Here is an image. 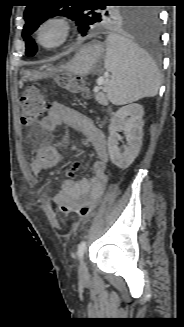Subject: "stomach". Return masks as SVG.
<instances>
[{"label":"stomach","mask_w":184,"mask_h":327,"mask_svg":"<svg viewBox=\"0 0 184 327\" xmlns=\"http://www.w3.org/2000/svg\"><path fill=\"white\" fill-rule=\"evenodd\" d=\"M104 46L101 43H94L82 47L72 59L58 69L49 72L40 73L35 70H23L22 75L25 81H33L41 78H47L57 72H68L72 75L81 77L91 73H97L102 62Z\"/></svg>","instance_id":"obj_1"}]
</instances>
